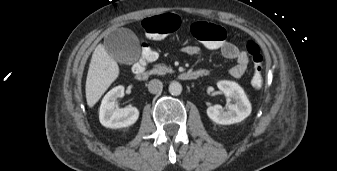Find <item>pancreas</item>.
<instances>
[{
  "instance_id": "cf45deb5",
  "label": "pancreas",
  "mask_w": 337,
  "mask_h": 171,
  "mask_svg": "<svg viewBox=\"0 0 337 171\" xmlns=\"http://www.w3.org/2000/svg\"><path fill=\"white\" fill-rule=\"evenodd\" d=\"M153 74H159V75H164L166 73H173V70L171 67H167L165 65H156L154 69L151 71Z\"/></svg>"
}]
</instances>
